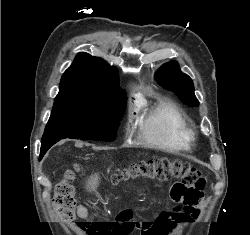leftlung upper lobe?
<instances>
[{
  "mask_svg": "<svg viewBox=\"0 0 250 235\" xmlns=\"http://www.w3.org/2000/svg\"><path fill=\"white\" fill-rule=\"evenodd\" d=\"M156 80L163 88L176 93L182 102L188 106H197L198 100L194 94V85L190 77L180 71L176 61H171L159 68Z\"/></svg>",
  "mask_w": 250,
  "mask_h": 235,
  "instance_id": "5c2ea615",
  "label": "left lung upper lobe"
}]
</instances>
